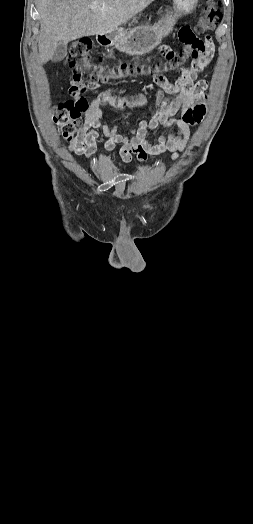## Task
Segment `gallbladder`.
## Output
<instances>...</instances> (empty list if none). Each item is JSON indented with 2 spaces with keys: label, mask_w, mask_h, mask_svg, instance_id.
Instances as JSON below:
<instances>
[{
  "label": "gallbladder",
  "mask_w": 253,
  "mask_h": 524,
  "mask_svg": "<svg viewBox=\"0 0 253 524\" xmlns=\"http://www.w3.org/2000/svg\"><path fill=\"white\" fill-rule=\"evenodd\" d=\"M67 54V44H60L55 52L51 60L55 63L62 61Z\"/></svg>",
  "instance_id": "gallbladder-1"
}]
</instances>
